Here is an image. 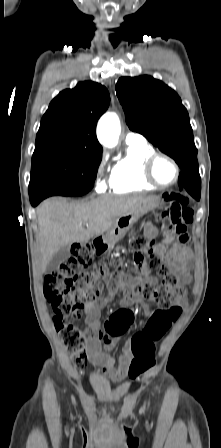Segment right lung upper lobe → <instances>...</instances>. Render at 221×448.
<instances>
[{"mask_svg":"<svg viewBox=\"0 0 221 448\" xmlns=\"http://www.w3.org/2000/svg\"><path fill=\"white\" fill-rule=\"evenodd\" d=\"M109 103L107 89L91 81L80 82L74 89L60 92L41 120L35 148L75 145L102 152L96 124Z\"/></svg>","mask_w":221,"mask_h":448,"instance_id":"cb5924a9","label":"right lung upper lobe"}]
</instances>
